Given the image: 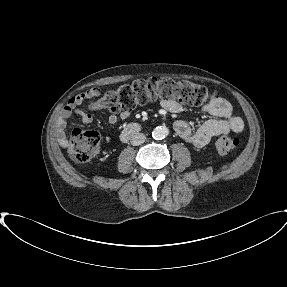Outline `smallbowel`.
I'll return each mask as SVG.
<instances>
[{"label":"small bowel","mask_w":287,"mask_h":287,"mask_svg":"<svg viewBox=\"0 0 287 287\" xmlns=\"http://www.w3.org/2000/svg\"><path fill=\"white\" fill-rule=\"evenodd\" d=\"M99 93L100 90L98 88H92L69 99L56 121L57 137L61 142L64 143L66 140L67 119L74 113L80 116L84 124H90L93 121L92 115L79 110L78 106L88 98L99 95ZM161 104L164 109L172 113H177L182 109V106L175 100L162 101ZM204 111L215 118L206 121L196 130H192L189 123L184 120H178L174 123L176 134L196 148H202L207 145L212 137L229 132L239 133L244 128L242 119L234 115L231 104L222 97H216L204 107ZM129 116L130 113L128 111L111 113L108 116V121L110 124H115L119 119L126 120ZM106 139L109 140V138Z\"/></svg>","instance_id":"1"}]
</instances>
